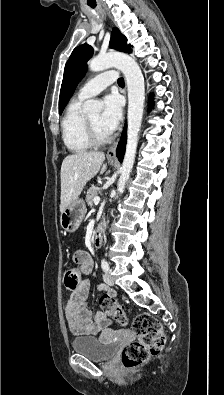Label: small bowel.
Returning a JSON list of instances; mask_svg holds the SVG:
<instances>
[{
    "instance_id": "1",
    "label": "small bowel",
    "mask_w": 224,
    "mask_h": 395,
    "mask_svg": "<svg viewBox=\"0 0 224 395\" xmlns=\"http://www.w3.org/2000/svg\"><path fill=\"white\" fill-rule=\"evenodd\" d=\"M74 260L81 267L84 275H88L93 267L91 256L82 250L74 255ZM90 281L87 277L82 278L78 285L73 288L72 295L64 307L65 318L69 329L75 335H97L109 328L110 318L104 311L93 314L92 310L86 305V297ZM98 289L114 296V290L105 284H100Z\"/></svg>"
}]
</instances>
